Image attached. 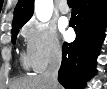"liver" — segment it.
Instances as JSON below:
<instances>
[{
  "label": "liver",
  "instance_id": "obj_1",
  "mask_svg": "<svg viewBox=\"0 0 107 89\" xmlns=\"http://www.w3.org/2000/svg\"><path fill=\"white\" fill-rule=\"evenodd\" d=\"M9 89H51L49 81L43 74L22 77L10 85ZM60 89V86H58Z\"/></svg>",
  "mask_w": 107,
  "mask_h": 89
}]
</instances>
